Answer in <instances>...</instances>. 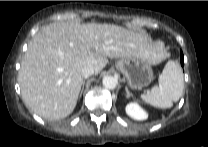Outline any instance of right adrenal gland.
Segmentation results:
<instances>
[{
    "instance_id": "1",
    "label": "right adrenal gland",
    "mask_w": 208,
    "mask_h": 147,
    "mask_svg": "<svg viewBox=\"0 0 208 147\" xmlns=\"http://www.w3.org/2000/svg\"><path fill=\"white\" fill-rule=\"evenodd\" d=\"M84 85H85V81H83V83H82V88H81V92H80L79 98L81 97L82 92H83V90H84Z\"/></svg>"
}]
</instances>
